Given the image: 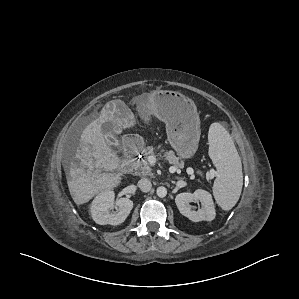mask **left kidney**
<instances>
[{"instance_id": "obj_1", "label": "left kidney", "mask_w": 299, "mask_h": 299, "mask_svg": "<svg viewBox=\"0 0 299 299\" xmlns=\"http://www.w3.org/2000/svg\"><path fill=\"white\" fill-rule=\"evenodd\" d=\"M201 202L202 207L194 211L191 202ZM175 203L182 215L193 222L212 221L215 218V208L209 192L198 189L194 193H180L175 198Z\"/></svg>"}]
</instances>
